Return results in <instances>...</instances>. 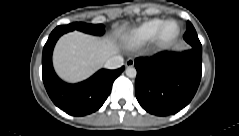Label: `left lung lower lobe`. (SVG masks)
Listing matches in <instances>:
<instances>
[{
	"mask_svg": "<svg viewBox=\"0 0 239 136\" xmlns=\"http://www.w3.org/2000/svg\"><path fill=\"white\" fill-rule=\"evenodd\" d=\"M202 50L160 52L135 59V94L147 112L166 116L179 112L194 97L201 79Z\"/></svg>",
	"mask_w": 239,
	"mask_h": 136,
	"instance_id": "obj_1",
	"label": "left lung lower lobe"
}]
</instances>
